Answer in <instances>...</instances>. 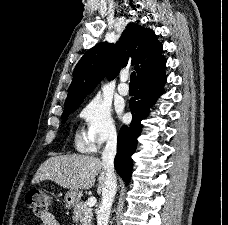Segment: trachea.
<instances>
[{
	"label": "trachea",
	"mask_w": 228,
	"mask_h": 225,
	"mask_svg": "<svg viewBox=\"0 0 228 225\" xmlns=\"http://www.w3.org/2000/svg\"><path fill=\"white\" fill-rule=\"evenodd\" d=\"M129 87H136V73L135 72L131 73Z\"/></svg>",
	"instance_id": "3493384b"
}]
</instances>
